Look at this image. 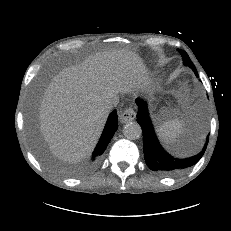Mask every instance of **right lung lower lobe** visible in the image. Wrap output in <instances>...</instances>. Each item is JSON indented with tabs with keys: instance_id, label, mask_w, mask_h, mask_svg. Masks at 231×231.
<instances>
[{
	"instance_id": "right-lung-lower-lobe-1",
	"label": "right lung lower lobe",
	"mask_w": 231,
	"mask_h": 231,
	"mask_svg": "<svg viewBox=\"0 0 231 231\" xmlns=\"http://www.w3.org/2000/svg\"><path fill=\"white\" fill-rule=\"evenodd\" d=\"M117 128H118L117 112L113 111L108 118L103 134L93 152V155L91 158L92 165H95L98 163L102 153L107 148Z\"/></svg>"
}]
</instances>
